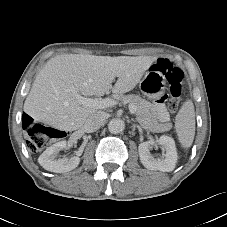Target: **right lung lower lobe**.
I'll list each match as a JSON object with an SVG mask.
<instances>
[{"label": "right lung lower lobe", "mask_w": 227, "mask_h": 227, "mask_svg": "<svg viewBox=\"0 0 227 227\" xmlns=\"http://www.w3.org/2000/svg\"><path fill=\"white\" fill-rule=\"evenodd\" d=\"M30 117L27 114H23V125L30 121Z\"/></svg>", "instance_id": "right-lung-lower-lobe-1"}]
</instances>
